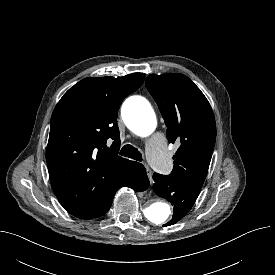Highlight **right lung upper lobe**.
I'll return each mask as SVG.
<instances>
[{
  "label": "right lung upper lobe",
  "instance_id": "obj_1",
  "mask_svg": "<svg viewBox=\"0 0 275 275\" xmlns=\"http://www.w3.org/2000/svg\"><path fill=\"white\" fill-rule=\"evenodd\" d=\"M144 73L85 78L56 105L46 160L61 205L80 219L94 216L114 195L137 162L117 155V114L123 99L143 83ZM111 138L113 143L106 145Z\"/></svg>",
  "mask_w": 275,
  "mask_h": 275
}]
</instances>
